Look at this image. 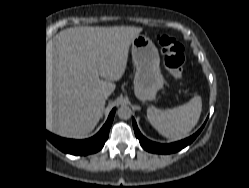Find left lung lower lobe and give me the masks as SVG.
<instances>
[{
  "label": "left lung lower lobe",
  "instance_id": "1",
  "mask_svg": "<svg viewBox=\"0 0 249 188\" xmlns=\"http://www.w3.org/2000/svg\"><path fill=\"white\" fill-rule=\"evenodd\" d=\"M132 121H133L135 135L139 139L141 146L149 152L160 153V154H169V153H174V152L180 151L181 149H183L187 145L191 144L204 127V125H203L200 128V130H198L194 135H192L191 137L186 138L184 140H181L179 142L170 143V144H160V143H155V142H152V141L146 139L140 133L134 118L132 119Z\"/></svg>",
  "mask_w": 249,
  "mask_h": 188
}]
</instances>
